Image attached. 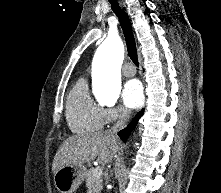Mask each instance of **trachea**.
<instances>
[{
  "mask_svg": "<svg viewBox=\"0 0 221 193\" xmlns=\"http://www.w3.org/2000/svg\"><path fill=\"white\" fill-rule=\"evenodd\" d=\"M109 2L111 4L112 10L119 18V21L123 30V34L125 37V41H126L128 55L130 59L132 60V62L138 67L139 63H138L136 43H135V38L133 35V31H132V27H131L128 15L125 13L123 9L119 7L116 0H109Z\"/></svg>",
  "mask_w": 221,
  "mask_h": 193,
  "instance_id": "trachea-1",
  "label": "trachea"
}]
</instances>
